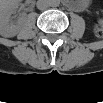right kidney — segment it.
I'll return each instance as SVG.
<instances>
[{
  "label": "right kidney",
  "instance_id": "ca27d5eb",
  "mask_svg": "<svg viewBox=\"0 0 103 103\" xmlns=\"http://www.w3.org/2000/svg\"><path fill=\"white\" fill-rule=\"evenodd\" d=\"M19 1L17 0H6L1 2L0 6V34L3 37H13L15 36L20 26L19 24H14L10 17L15 12L18 7Z\"/></svg>",
  "mask_w": 103,
  "mask_h": 103
}]
</instances>
